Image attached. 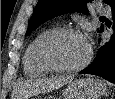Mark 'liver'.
<instances>
[{
  "mask_svg": "<svg viewBox=\"0 0 115 99\" xmlns=\"http://www.w3.org/2000/svg\"><path fill=\"white\" fill-rule=\"evenodd\" d=\"M73 79L74 75H69L22 82L18 86V91L20 93L19 99H27L35 94L51 92L72 82Z\"/></svg>",
  "mask_w": 115,
  "mask_h": 99,
  "instance_id": "obj_1",
  "label": "liver"
}]
</instances>
